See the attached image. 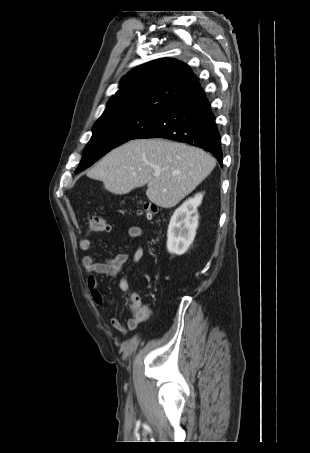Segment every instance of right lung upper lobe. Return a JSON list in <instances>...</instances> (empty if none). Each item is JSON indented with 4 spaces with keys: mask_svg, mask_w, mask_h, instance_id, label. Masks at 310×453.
Segmentation results:
<instances>
[{
    "mask_svg": "<svg viewBox=\"0 0 310 453\" xmlns=\"http://www.w3.org/2000/svg\"><path fill=\"white\" fill-rule=\"evenodd\" d=\"M198 87L200 83L187 64L169 58L153 60L122 78L119 90L108 101L101 117L121 113L161 114Z\"/></svg>",
    "mask_w": 310,
    "mask_h": 453,
    "instance_id": "1",
    "label": "right lung upper lobe"
}]
</instances>
